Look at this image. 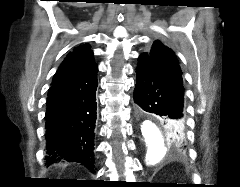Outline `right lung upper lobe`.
<instances>
[{
    "instance_id": "obj_1",
    "label": "right lung upper lobe",
    "mask_w": 240,
    "mask_h": 187,
    "mask_svg": "<svg viewBox=\"0 0 240 187\" xmlns=\"http://www.w3.org/2000/svg\"><path fill=\"white\" fill-rule=\"evenodd\" d=\"M95 65L90 46L88 44L80 45L67 55L57 70L52 84Z\"/></svg>"
}]
</instances>
